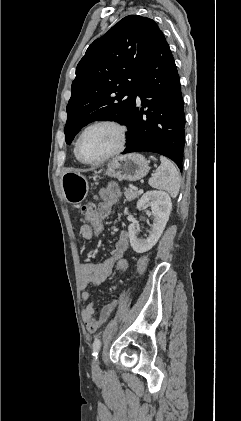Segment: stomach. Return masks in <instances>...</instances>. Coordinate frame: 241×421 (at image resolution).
I'll use <instances>...</instances> for the list:
<instances>
[{
    "instance_id": "obj_1",
    "label": "stomach",
    "mask_w": 241,
    "mask_h": 421,
    "mask_svg": "<svg viewBox=\"0 0 241 421\" xmlns=\"http://www.w3.org/2000/svg\"><path fill=\"white\" fill-rule=\"evenodd\" d=\"M149 162L140 154L121 155L108 162L105 174L119 180L137 181L149 172ZM61 187L65 200L70 204H79L89 190L88 177L77 170H67L61 176Z\"/></svg>"
}]
</instances>
